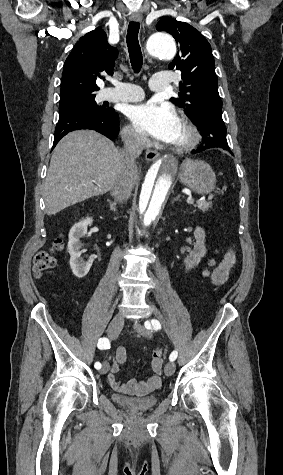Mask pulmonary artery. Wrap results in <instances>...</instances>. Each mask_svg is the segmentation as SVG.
Here are the masks:
<instances>
[{
  "label": "pulmonary artery",
  "instance_id": "pulmonary-artery-1",
  "mask_svg": "<svg viewBox=\"0 0 283 475\" xmlns=\"http://www.w3.org/2000/svg\"><path fill=\"white\" fill-rule=\"evenodd\" d=\"M112 85L114 87H104L102 91L104 96H116L110 99L111 102H136L147 98V93L143 91V88L133 83L120 82ZM150 88L159 89L157 92L160 94L162 92L160 89L166 88V81L151 80Z\"/></svg>",
  "mask_w": 283,
  "mask_h": 475
}]
</instances>
